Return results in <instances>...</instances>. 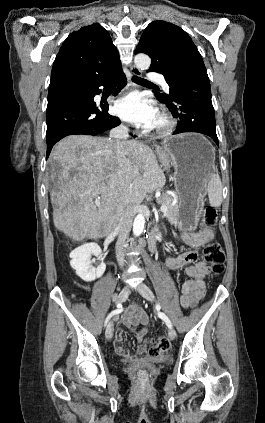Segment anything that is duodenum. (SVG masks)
I'll return each mask as SVG.
<instances>
[{
  "label": "duodenum",
  "mask_w": 265,
  "mask_h": 423,
  "mask_svg": "<svg viewBox=\"0 0 265 423\" xmlns=\"http://www.w3.org/2000/svg\"><path fill=\"white\" fill-rule=\"evenodd\" d=\"M158 235H159V230L156 228L152 229L149 233L148 247L151 252H155L156 250Z\"/></svg>",
  "instance_id": "1"
}]
</instances>
